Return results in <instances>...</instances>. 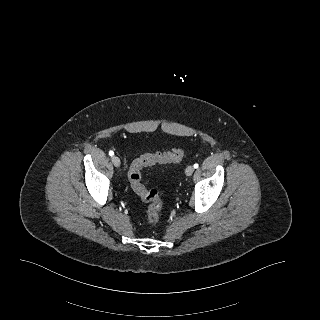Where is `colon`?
<instances>
[{
	"label": "colon",
	"instance_id": "1",
	"mask_svg": "<svg viewBox=\"0 0 320 320\" xmlns=\"http://www.w3.org/2000/svg\"><path fill=\"white\" fill-rule=\"evenodd\" d=\"M184 157L181 147L168 152L146 153L135 159L129 169L128 177L131 187L140 198L148 204L147 218L149 223L155 224L159 220L163 202L157 190L147 189L142 182V169L155 164L179 162Z\"/></svg>",
	"mask_w": 320,
	"mask_h": 320
}]
</instances>
